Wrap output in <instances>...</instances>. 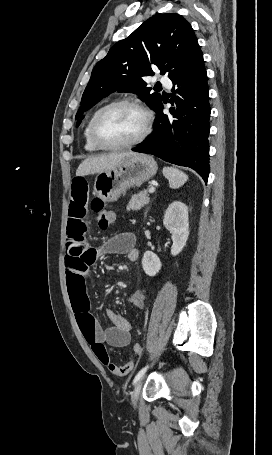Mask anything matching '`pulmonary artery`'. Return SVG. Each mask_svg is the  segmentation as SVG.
Wrapping results in <instances>:
<instances>
[{
  "label": "pulmonary artery",
  "instance_id": "obj_1",
  "mask_svg": "<svg viewBox=\"0 0 272 455\" xmlns=\"http://www.w3.org/2000/svg\"><path fill=\"white\" fill-rule=\"evenodd\" d=\"M160 82L167 87H170L172 84L171 80L167 76H161Z\"/></svg>",
  "mask_w": 272,
  "mask_h": 455
}]
</instances>
